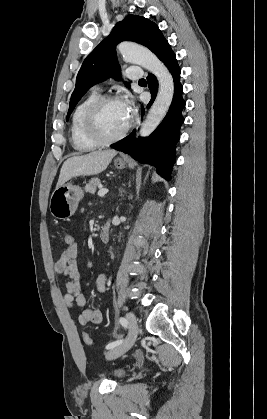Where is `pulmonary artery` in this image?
I'll return each instance as SVG.
<instances>
[{
  "instance_id": "pulmonary-artery-1",
  "label": "pulmonary artery",
  "mask_w": 267,
  "mask_h": 419,
  "mask_svg": "<svg viewBox=\"0 0 267 419\" xmlns=\"http://www.w3.org/2000/svg\"><path fill=\"white\" fill-rule=\"evenodd\" d=\"M126 76L131 80H140L143 78V72L138 67H129L126 69Z\"/></svg>"
}]
</instances>
